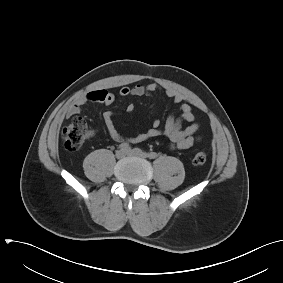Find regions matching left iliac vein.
Segmentation results:
<instances>
[{
  "instance_id": "4c4485c4",
  "label": "left iliac vein",
  "mask_w": 283,
  "mask_h": 283,
  "mask_svg": "<svg viewBox=\"0 0 283 283\" xmlns=\"http://www.w3.org/2000/svg\"><path fill=\"white\" fill-rule=\"evenodd\" d=\"M129 155L132 156H137V157H141V158H146V154L139 148H134L132 149L130 152H128Z\"/></svg>"
}]
</instances>
